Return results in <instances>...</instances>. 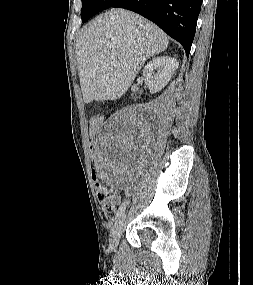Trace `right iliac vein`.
Instances as JSON below:
<instances>
[{"instance_id":"63e3f726","label":"right iliac vein","mask_w":253,"mask_h":285,"mask_svg":"<svg viewBox=\"0 0 253 285\" xmlns=\"http://www.w3.org/2000/svg\"><path fill=\"white\" fill-rule=\"evenodd\" d=\"M125 219H126V214L123 213L118 218V220L116 221L111 230L110 239H109V247L111 250H115L118 246L119 239L124 228Z\"/></svg>"}]
</instances>
